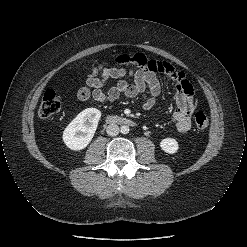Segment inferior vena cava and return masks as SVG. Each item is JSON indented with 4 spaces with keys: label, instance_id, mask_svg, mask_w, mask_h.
<instances>
[{
    "label": "inferior vena cava",
    "instance_id": "inferior-vena-cava-1",
    "mask_svg": "<svg viewBox=\"0 0 247 247\" xmlns=\"http://www.w3.org/2000/svg\"><path fill=\"white\" fill-rule=\"evenodd\" d=\"M109 136H116L119 133V127L117 124H110L106 130Z\"/></svg>",
    "mask_w": 247,
    "mask_h": 247
}]
</instances>
